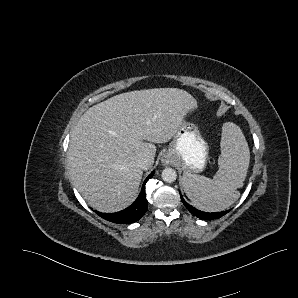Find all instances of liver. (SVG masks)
<instances>
[{
	"mask_svg": "<svg viewBox=\"0 0 298 298\" xmlns=\"http://www.w3.org/2000/svg\"><path fill=\"white\" fill-rule=\"evenodd\" d=\"M195 106L187 90L157 87L120 93L86 110L71 134L67 159L89 206L102 213L129 207L143 175L138 160L153 166V143L170 140L182 113Z\"/></svg>",
	"mask_w": 298,
	"mask_h": 298,
	"instance_id": "1",
	"label": "liver"
}]
</instances>
